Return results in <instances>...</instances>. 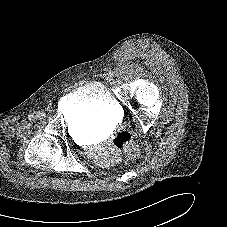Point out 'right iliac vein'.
Returning <instances> with one entry per match:
<instances>
[{
  "instance_id": "right-iliac-vein-1",
  "label": "right iliac vein",
  "mask_w": 227,
  "mask_h": 227,
  "mask_svg": "<svg viewBox=\"0 0 227 227\" xmlns=\"http://www.w3.org/2000/svg\"><path fill=\"white\" fill-rule=\"evenodd\" d=\"M44 118V114L42 112H38L36 114V119L42 120Z\"/></svg>"
}]
</instances>
